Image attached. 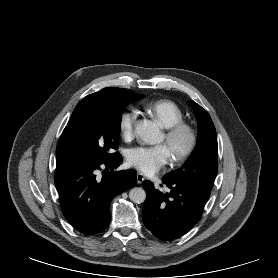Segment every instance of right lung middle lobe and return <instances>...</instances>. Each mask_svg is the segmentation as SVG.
<instances>
[{
	"label": "right lung middle lobe",
	"instance_id": "right-lung-middle-lobe-1",
	"mask_svg": "<svg viewBox=\"0 0 278 278\" xmlns=\"http://www.w3.org/2000/svg\"><path fill=\"white\" fill-rule=\"evenodd\" d=\"M144 95L113 100L83 98L76 106L56 148V168L109 160L118 156L121 115Z\"/></svg>",
	"mask_w": 278,
	"mask_h": 278
}]
</instances>
